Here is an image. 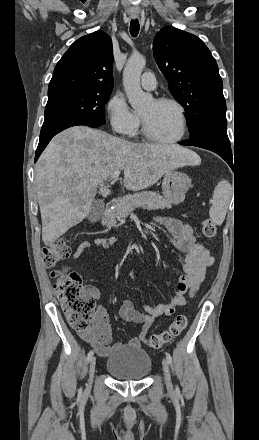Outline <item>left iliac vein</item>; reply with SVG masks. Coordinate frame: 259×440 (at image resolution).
<instances>
[{"label":"left iliac vein","instance_id":"obj_1","mask_svg":"<svg viewBox=\"0 0 259 440\" xmlns=\"http://www.w3.org/2000/svg\"><path fill=\"white\" fill-rule=\"evenodd\" d=\"M162 366H163V372H164L166 386L169 390H172L173 386H172V381H171V375H170L168 362L166 359H163Z\"/></svg>","mask_w":259,"mask_h":440}]
</instances>
